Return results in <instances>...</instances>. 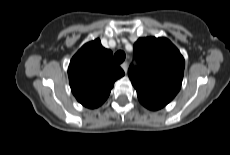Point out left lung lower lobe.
<instances>
[{
	"label": "left lung lower lobe",
	"instance_id": "left-lung-lower-lobe-1",
	"mask_svg": "<svg viewBox=\"0 0 230 155\" xmlns=\"http://www.w3.org/2000/svg\"><path fill=\"white\" fill-rule=\"evenodd\" d=\"M142 105L145 106L146 108L150 109V110H158V109H160V107L154 106V105H149V104H142Z\"/></svg>",
	"mask_w": 230,
	"mask_h": 155
}]
</instances>
